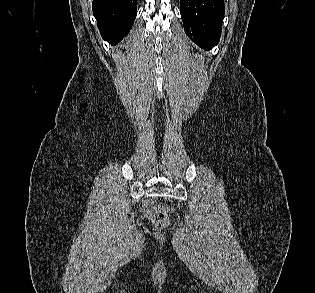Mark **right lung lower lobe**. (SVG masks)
I'll use <instances>...</instances> for the list:
<instances>
[{
    "mask_svg": "<svg viewBox=\"0 0 315 293\" xmlns=\"http://www.w3.org/2000/svg\"><path fill=\"white\" fill-rule=\"evenodd\" d=\"M92 9L102 37L115 45L129 33L137 0H93Z\"/></svg>",
    "mask_w": 315,
    "mask_h": 293,
    "instance_id": "obj_1",
    "label": "right lung lower lobe"
}]
</instances>
